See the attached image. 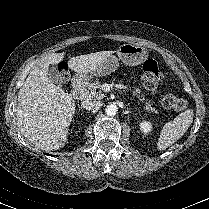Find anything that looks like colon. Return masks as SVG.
Here are the masks:
<instances>
[{"label":"colon","instance_id":"5ec220e1","mask_svg":"<svg viewBox=\"0 0 209 209\" xmlns=\"http://www.w3.org/2000/svg\"><path fill=\"white\" fill-rule=\"evenodd\" d=\"M59 73L63 81L68 80L69 71L66 66L61 65L59 69ZM163 78L164 75L160 71L156 60L148 59L144 62L142 83L147 90L151 92L156 91L159 83L163 80ZM162 105L164 106V108L175 112H181L187 108L186 100L172 94L163 97Z\"/></svg>","mask_w":209,"mask_h":209}]
</instances>
